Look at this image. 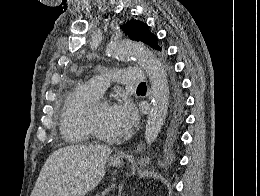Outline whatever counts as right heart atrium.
<instances>
[{
  "mask_svg": "<svg viewBox=\"0 0 260 196\" xmlns=\"http://www.w3.org/2000/svg\"><path fill=\"white\" fill-rule=\"evenodd\" d=\"M55 192H75V190H55Z\"/></svg>",
  "mask_w": 260,
  "mask_h": 196,
  "instance_id": "1",
  "label": "right heart atrium"
}]
</instances>
